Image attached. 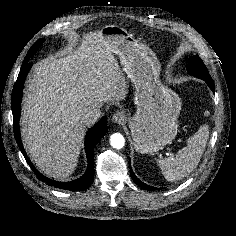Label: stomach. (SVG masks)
I'll return each instance as SVG.
<instances>
[{"label": "stomach", "mask_w": 236, "mask_h": 236, "mask_svg": "<svg viewBox=\"0 0 236 236\" xmlns=\"http://www.w3.org/2000/svg\"><path fill=\"white\" fill-rule=\"evenodd\" d=\"M100 33L135 87L136 112L128 118L134 147L143 154L156 152L177 135L181 99L161 83V65L149 47L117 25H106Z\"/></svg>", "instance_id": "obj_1"}]
</instances>
